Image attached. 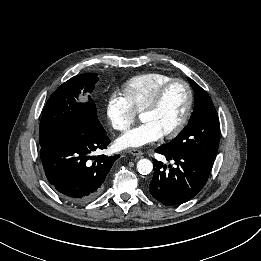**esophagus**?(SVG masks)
I'll return each instance as SVG.
<instances>
[{
  "label": "esophagus",
  "instance_id": "obj_1",
  "mask_svg": "<svg viewBox=\"0 0 261 261\" xmlns=\"http://www.w3.org/2000/svg\"><path fill=\"white\" fill-rule=\"evenodd\" d=\"M130 153H131V155L136 156V157H141L143 155V152L140 151L139 149H131Z\"/></svg>",
  "mask_w": 261,
  "mask_h": 261
}]
</instances>
